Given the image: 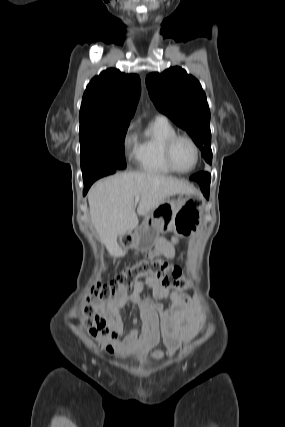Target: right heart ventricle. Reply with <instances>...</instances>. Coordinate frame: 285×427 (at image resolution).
Returning <instances> with one entry per match:
<instances>
[{"label":"right heart ventricle","mask_w":285,"mask_h":427,"mask_svg":"<svg viewBox=\"0 0 285 427\" xmlns=\"http://www.w3.org/2000/svg\"><path fill=\"white\" fill-rule=\"evenodd\" d=\"M177 133L173 125L164 117H156L139 134L134 149V159L140 170L153 174L168 175L173 171L164 158L166 141Z\"/></svg>","instance_id":"right-heart-ventricle-1"}]
</instances>
